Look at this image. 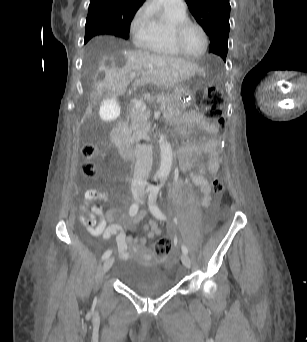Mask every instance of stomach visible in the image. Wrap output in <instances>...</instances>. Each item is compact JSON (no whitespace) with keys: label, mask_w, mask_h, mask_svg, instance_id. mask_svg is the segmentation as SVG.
<instances>
[{"label":"stomach","mask_w":307,"mask_h":342,"mask_svg":"<svg viewBox=\"0 0 307 342\" xmlns=\"http://www.w3.org/2000/svg\"><path fill=\"white\" fill-rule=\"evenodd\" d=\"M202 74L196 73L180 83L173 90L172 97L175 104L182 110L186 109L194 99V95L201 86Z\"/></svg>","instance_id":"0dacf381"}]
</instances>
